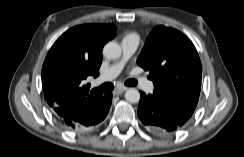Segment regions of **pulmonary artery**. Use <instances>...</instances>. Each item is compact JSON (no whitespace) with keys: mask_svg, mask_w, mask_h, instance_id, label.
Instances as JSON below:
<instances>
[{"mask_svg":"<svg viewBox=\"0 0 244 157\" xmlns=\"http://www.w3.org/2000/svg\"><path fill=\"white\" fill-rule=\"evenodd\" d=\"M139 45V40L135 36H126L122 39V57L111 64L108 68L103 70L97 80L98 83L108 82L116 78L119 73L122 71L125 63L129 58L134 54ZM141 88L150 92L153 90V83L146 79H140Z\"/></svg>","mask_w":244,"mask_h":157,"instance_id":"e3ab8cb5","label":"pulmonary artery"}]
</instances>
